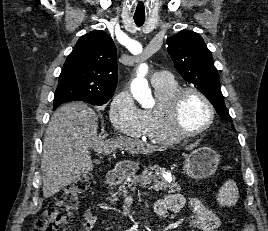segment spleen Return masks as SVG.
Returning <instances> with one entry per match:
<instances>
[{"label":"spleen","mask_w":268,"mask_h":231,"mask_svg":"<svg viewBox=\"0 0 268 231\" xmlns=\"http://www.w3.org/2000/svg\"><path fill=\"white\" fill-rule=\"evenodd\" d=\"M238 198L239 192L234 180L226 181L217 194V201L221 206H232Z\"/></svg>","instance_id":"spleen-1"}]
</instances>
